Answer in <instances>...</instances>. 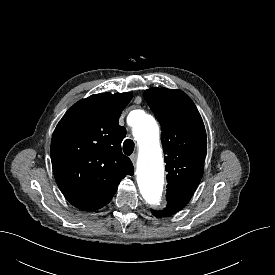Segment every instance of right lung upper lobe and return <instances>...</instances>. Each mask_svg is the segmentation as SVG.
<instances>
[{
	"label": "right lung upper lobe",
	"instance_id": "right-lung-upper-lobe-1",
	"mask_svg": "<svg viewBox=\"0 0 275 275\" xmlns=\"http://www.w3.org/2000/svg\"><path fill=\"white\" fill-rule=\"evenodd\" d=\"M131 93H101L75 103L56 126L51 141L55 180L65 198L84 211L102 208L120 181L132 175L122 154L126 130L119 125Z\"/></svg>",
	"mask_w": 275,
	"mask_h": 275
}]
</instances>
